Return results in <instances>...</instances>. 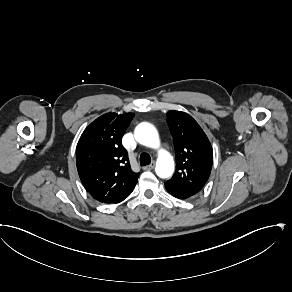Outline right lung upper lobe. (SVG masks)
Instances as JSON below:
<instances>
[{
	"instance_id": "right-lung-upper-lobe-1",
	"label": "right lung upper lobe",
	"mask_w": 292,
	"mask_h": 292,
	"mask_svg": "<svg viewBox=\"0 0 292 292\" xmlns=\"http://www.w3.org/2000/svg\"><path fill=\"white\" fill-rule=\"evenodd\" d=\"M133 113H107L82 133L76 147L80 180L91 196L102 203H119L133 191L139 173L130 168L122 136Z\"/></svg>"
}]
</instances>
